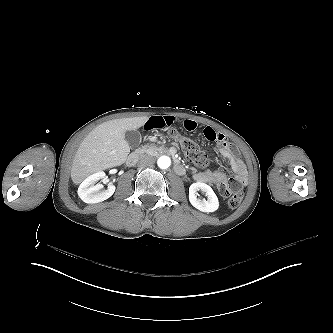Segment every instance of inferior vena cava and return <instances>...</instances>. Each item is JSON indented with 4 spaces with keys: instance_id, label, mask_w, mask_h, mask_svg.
<instances>
[{
    "instance_id": "obj_1",
    "label": "inferior vena cava",
    "mask_w": 333,
    "mask_h": 333,
    "mask_svg": "<svg viewBox=\"0 0 333 333\" xmlns=\"http://www.w3.org/2000/svg\"><path fill=\"white\" fill-rule=\"evenodd\" d=\"M155 163V158L152 156H143L137 163V166L144 168L147 166H152Z\"/></svg>"
}]
</instances>
